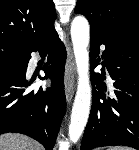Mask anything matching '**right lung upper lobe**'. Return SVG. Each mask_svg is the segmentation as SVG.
<instances>
[{"label": "right lung upper lobe", "instance_id": "1", "mask_svg": "<svg viewBox=\"0 0 139 150\" xmlns=\"http://www.w3.org/2000/svg\"><path fill=\"white\" fill-rule=\"evenodd\" d=\"M53 0H0V45L25 51L54 29Z\"/></svg>", "mask_w": 139, "mask_h": 150}]
</instances>
